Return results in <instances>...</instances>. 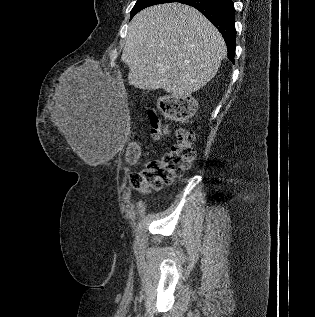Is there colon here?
I'll return each mask as SVG.
<instances>
[{"label":"colon","mask_w":315,"mask_h":317,"mask_svg":"<svg viewBox=\"0 0 315 317\" xmlns=\"http://www.w3.org/2000/svg\"><path fill=\"white\" fill-rule=\"evenodd\" d=\"M161 109L173 119H187L194 111V103L189 98L167 97L161 101ZM151 133L155 141H159L166 133V126L154 112L149 113ZM194 135L191 131L181 128L177 131V141L171 150L160 159L148 162L141 170L133 173L130 182L133 189L140 192L159 190L163 185L171 183L180 177L194 159ZM141 158L138 144L127 147L126 159L130 163H137Z\"/></svg>","instance_id":"obj_1"}]
</instances>
